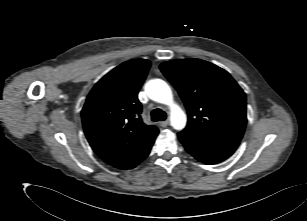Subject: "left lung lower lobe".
<instances>
[{"instance_id": "left-lung-lower-lobe-1", "label": "left lung lower lobe", "mask_w": 307, "mask_h": 221, "mask_svg": "<svg viewBox=\"0 0 307 221\" xmlns=\"http://www.w3.org/2000/svg\"><path fill=\"white\" fill-rule=\"evenodd\" d=\"M178 138L186 151L205 164L219 163L237 149L239 142L198 135L188 131L178 133Z\"/></svg>"}]
</instances>
